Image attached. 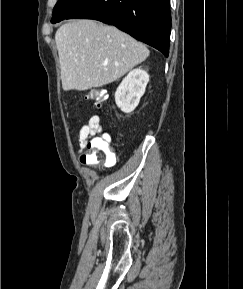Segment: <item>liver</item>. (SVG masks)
I'll return each instance as SVG.
<instances>
[{"instance_id":"liver-1","label":"liver","mask_w":243,"mask_h":289,"mask_svg":"<svg viewBox=\"0 0 243 289\" xmlns=\"http://www.w3.org/2000/svg\"><path fill=\"white\" fill-rule=\"evenodd\" d=\"M65 91L112 83L149 56L147 47L114 26L78 19L55 34Z\"/></svg>"}]
</instances>
